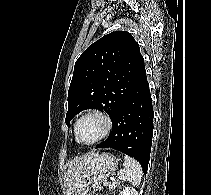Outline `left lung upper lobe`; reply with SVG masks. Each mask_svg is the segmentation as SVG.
I'll use <instances>...</instances> for the list:
<instances>
[{"instance_id":"obj_1","label":"left lung upper lobe","mask_w":211,"mask_h":195,"mask_svg":"<svg viewBox=\"0 0 211 195\" xmlns=\"http://www.w3.org/2000/svg\"><path fill=\"white\" fill-rule=\"evenodd\" d=\"M145 75L144 58L130 33L115 31L103 36L75 63L66 124L85 109L104 110L112 120Z\"/></svg>"}]
</instances>
